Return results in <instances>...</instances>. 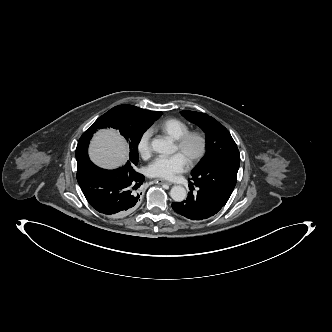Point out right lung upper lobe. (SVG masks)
Returning a JSON list of instances; mask_svg holds the SVG:
<instances>
[{"label":"right lung upper lobe","instance_id":"1","mask_svg":"<svg viewBox=\"0 0 332 332\" xmlns=\"http://www.w3.org/2000/svg\"><path fill=\"white\" fill-rule=\"evenodd\" d=\"M133 107H135V106H133ZM137 109H141V108H138V107H136ZM141 110H143V109H141Z\"/></svg>","mask_w":332,"mask_h":332}]
</instances>
